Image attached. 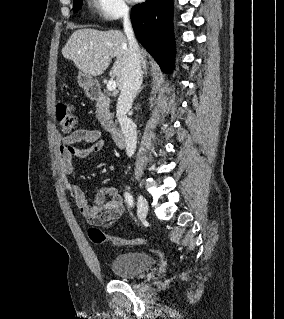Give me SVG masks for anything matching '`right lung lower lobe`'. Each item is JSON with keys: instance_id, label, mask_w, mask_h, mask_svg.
<instances>
[{"instance_id": "98d812e1", "label": "right lung lower lobe", "mask_w": 284, "mask_h": 319, "mask_svg": "<svg viewBox=\"0 0 284 319\" xmlns=\"http://www.w3.org/2000/svg\"><path fill=\"white\" fill-rule=\"evenodd\" d=\"M172 0H146L132 8L131 20L137 39L164 72L172 70L175 54Z\"/></svg>"}]
</instances>
